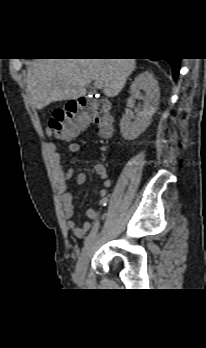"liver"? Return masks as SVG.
I'll return each mask as SVG.
<instances>
[{
    "label": "liver",
    "instance_id": "6515ba94",
    "mask_svg": "<svg viewBox=\"0 0 206 348\" xmlns=\"http://www.w3.org/2000/svg\"><path fill=\"white\" fill-rule=\"evenodd\" d=\"M135 59H36L28 67L27 84L35 108L79 99L92 81H102L104 94L115 97L135 69Z\"/></svg>",
    "mask_w": 206,
    "mask_h": 348
}]
</instances>
